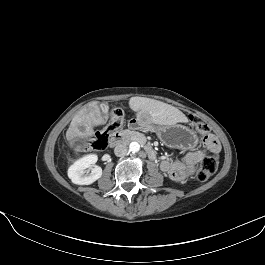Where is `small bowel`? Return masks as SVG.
<instances>
[{
    "label": "small bowel",
    "instance_id": "obj_1",
    "mask_svg": "<svg viewBox=\"0 0 265 265\" xmlns=\"http://www.w3.org/2000/svg\"><path fill=\"white\" fill-rule=\"evenodd\" d=\"M206 149L210 152H219L221 146L219 141L213 135H208L207 139H203ZM203 151H192L186 153L180 160L177 161H162L160 169L168 175L173 181L182 182L193 173L196 165L202 160Z\"/></svg>",
    "mask_w": 265,
    "mask_h": 265
}]
</instances>
